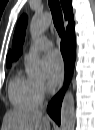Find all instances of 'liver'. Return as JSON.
I'll use <instances>...</instances> for the list:
<instances>
[{
    "mask_svg": "<svg viewBox=\"0 0 95 130\" xmlns=\"http://www.w3.org/2000/svg\"><path fill=\"white\" fill-rule=\"evenodd\" d=\"M2 130H50V121L39 110L14 108L5 113Z\"/></svg>",
    "mask_w": 95,
    "mask_h": 130,
    "instance_id": "liver-1",
    "label": "liver"
}]
</instances>
